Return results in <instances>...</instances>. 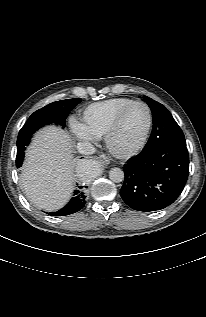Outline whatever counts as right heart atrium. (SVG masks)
<instances>
[{"label":"right heart atrium","instance_id":"obj_1","mask_svg":"<svg viewBox=\"0 0 206 317\" xmlns=\"http://www.w3.org/2000/svg\"><path fill=\"white\" fill-rule=\"evenodd\" d=\"M71 131L75 138L79 140H91L93 137L86 131L82 124L77 122L71 123Z\"/></svg>","mask_w":206,"mask_h":317}]
</instances>
